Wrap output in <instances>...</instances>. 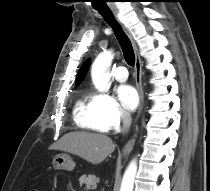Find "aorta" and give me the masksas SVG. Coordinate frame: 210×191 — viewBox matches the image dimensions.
Listing matches in <instances>:
<instances>
[{
  "label": "aorta",
  "mask_w": 210,
  "mask_h": 191,
  "mask_svg": "<svg viewBox=\"0 0 210 191\" xmlns=\"http://www.w3.org/2000/svg\"><path fill=\"white\" fill-rule=\"evenodd\" d=\"M113 59L112 51H105L98 55L95 59L92 70L91 77L95 87L101 92H107L110 86L109 80V69ZM137 172L136 160H133L127 167L120 191H133L134 180Z\"/></svg>",
  "instance_id": "1"
}]
</instances>
